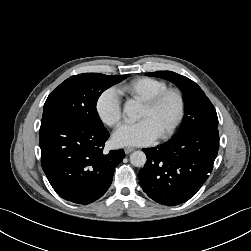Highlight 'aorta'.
<instances>
[{"label": "aorta", "instance_id": "obj_1", "mask_svg": "<svg viewBox=\"0 0 251 251\" xmlns=\"http://www.w3.org/2000/svg\"><path fill=\"white\" fill-rule=\"evenodd\" d=\"M123 112L125 115L129 116V117H137L138 112H139V105L133 101H127L124 105V109ZM146 155L143 151H134L131 155H130V162L132 165L136 166V167H142L144 166V164L146 163Z\"/></svg>", "mask_w": 251, "mask_h": 251}]
</instances>
